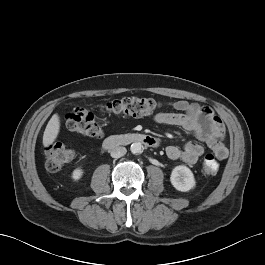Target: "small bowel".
<instances>
[{"label":"small bowel","instance_id":"c3829d8e","mask_svg":"<svg viewBox=\"0 0 265 265\" xmlns=\"http://www.w3.org/2000/svg\"><path fill=\"white\" fill-rule=\"evenodd\" d=\"M169 105L175 112L158 113L154 118L157 123L178 126L190 132L199 141L206 143L219 159L228 156V150L221 141L225 133L224 125L210 107L185 100H176ZM166 153L172 160L192 165L204 153V148L197 142H188L183 148L170 145Z\"/></svg>","mask_w":265,"mask_h":265}]
</instances>
